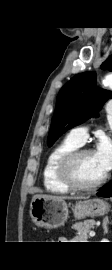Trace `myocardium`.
<instances>
[{
    "label": "myocardium",
    "mask_w": 112,
    "mask_h": 270,
    "mask_svg": "<svg viewBox=\"0 0 112 270\" xmlns=\"http://www.w3.org/2000/svg\"><path fill=\"white\" fill-rule=\"evenodd\" d=\"M87 153H93V151L89 148L79 147L65 154L59 161L58 176L61 182L70 190L79 192L92 191L103 185L107 179L106 174H104L100 180L92 184H82L76 179L74 170L75 164Z\"/></svg>",
    "instance_id": "f54148a6"
}]
</instances>
